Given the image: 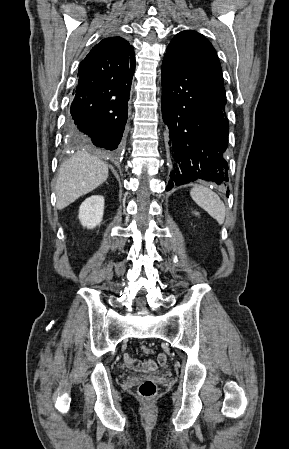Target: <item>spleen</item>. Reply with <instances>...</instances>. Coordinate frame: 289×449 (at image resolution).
Wrapping results in <instances>:
<instances>
[{
	"label": "spleen",
	"instance_id": "obj_1",
	"mask_svg": "<svg viewBox=\"0 0 289 449\" xmlns=\"http://www.w3.org/2000/svg\"><path fill=\"white\" fill-rule=\"evenodd\" d=\"M190 195L196 204L216 219L220 225L224 223L225 206L215 192L203 186H195L191 189Z\"/></svg>",
	"mask_w": 289,
	"mask_h": 449
}]
</instances>
